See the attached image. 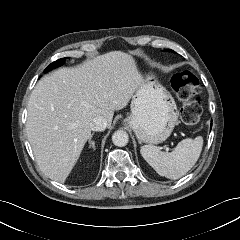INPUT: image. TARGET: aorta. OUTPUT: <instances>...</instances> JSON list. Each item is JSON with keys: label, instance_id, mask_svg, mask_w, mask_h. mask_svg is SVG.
<instances>
[{"label": "aorta", "instance_id": "obj_1", "mask_svg": "<svg viewBox=\"0 0 240 240\" xmlns=\"http://www.w3.org/2000/svg\"><path fill=\"white\" fill-rule=\"evenodd\" d=\"M112 141L115 146L123 147L129 142L128 133L124 130H117L112 135Z\"/></svg>", "mask_w": 240, "mask_h": 240}]
</instances>
